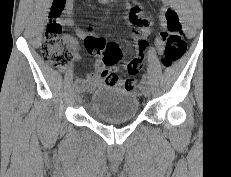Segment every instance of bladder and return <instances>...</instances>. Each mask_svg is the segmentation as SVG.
Returning <instances> with one entry per match:
<instances>
[{
    "label": "bladder",
    "mask_w": 231,
    "mask_h": 177,
    "mask_svg": "<svg viewBox=\"0 0 231 177\" xmlns=\"http://www.w3.org/2000/svg\"><path fill=\"white\" fill-rule=\"evenodd\" d=\"M90 108L99 119L107 122L127 121L138 114L136 95L122 87L103 85L91 96Z\"/></svg>",
    "instance_id": "bladder-1"
}]
</instances>
